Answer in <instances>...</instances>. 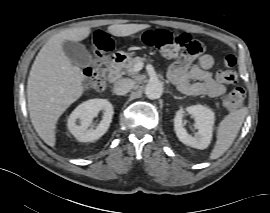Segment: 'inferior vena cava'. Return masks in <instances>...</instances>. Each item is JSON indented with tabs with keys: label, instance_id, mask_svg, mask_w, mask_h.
<instances>
[{
	"label": "inferior vena cava",
	"instance_id": "inferior-vena-cava-1",
	"mask_svg": "<svg viewBox=\"0 0 270 213\" xmlns=\"http://www.w3.org/2000/svg\"><path fill=\"white\" fill-rule=\"evenodd\" d=\"M133 87V82L129 79H121L118 80L113 87V92L116 95H125L127 94Z\"/></svg>",
	"mask_w": 270,
	"mask_h": 213
}]
</instances>
